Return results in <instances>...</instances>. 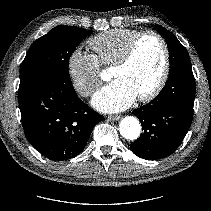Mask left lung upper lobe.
Returning <instances> with one entry per match:
<instances>
[{
	"mask_svg": "<svg viewBox=\"0 0 211 211\" xmlns=\"http://www.w3.org/2000/svg\"><path fill=\"white\" fill-rule=\"evenodd\" d=\"M155 29L162 34L169 50L170 71L182 64H191L186 48L167 29L156 25Z\"/></svg>",
	"mask_w": 211,
	"mask_h": 211,
	"instance_id": "5c2ea615",
	"label": "left lung upper lobe"
}]
</instances>
